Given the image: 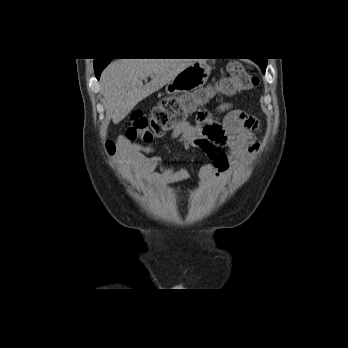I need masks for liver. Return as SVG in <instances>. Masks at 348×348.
Masks as SVG:
<instances>
[{
	"mask_svg": "<svg viewBox=\"0 0 348 348\" xmlns=\"http://www.w3.org/2000/svg\"><path fill=\"white\" fill-rule=\"evenodd\" d=\"M195 59H117L100 77L107 114L114 124L122 121L143 99L168 84ZM150 77V82L143 80Z\"/></svg>",
	"mask_w": 348,
	"mask_h": 348,
	"instance_id": "obj_1",
	"label": "liver"
}]
</instances>
